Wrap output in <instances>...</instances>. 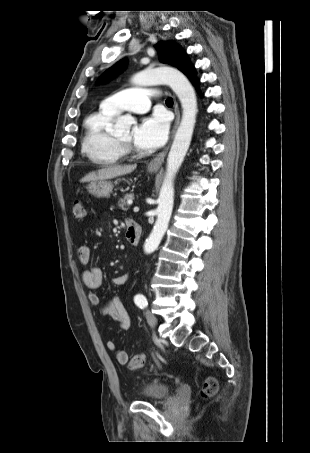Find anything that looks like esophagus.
Returning <instances> with one entry per match:
<instances>
[{
	"label": "esophagus",
	"instance_id": "34e87169",
	"mask_svg": "<svg viewBox=\"0 0 310 453\" xmlns=\"http://www.w3.org/2000/svg\"><path fill=\"white\" fill-rule=\"evenodd\" d=\"M175 115H176V119H175V124H174V127H173V130H172V136L174 135L175 133V130L179 124V120H180V113H179V109H178V105L175 104ZM168 149H169V146H167L162 152H160L156 157H154L150 162H149V167L150 168H159L162 163L164 162V159H165V156L168 152Z\"/></svg>",
	"mask_w": 310,
	"mask_h": 453
}]
</instances>
